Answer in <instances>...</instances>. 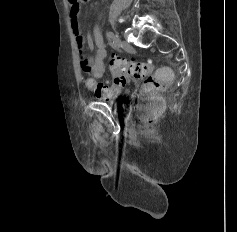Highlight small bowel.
Masks as SVG:
<instances>
[{
	"instance_id": "c3829d8e",
	"label": "small bowel",
	"mask_w": 237,
	"mask_h": 232,
	"mask_svg": "<svg viewBox=\"0 0 237 232\" xmlns=\"http://www.w3.org/2000/svg\"><path fill=\"white\" fill-rule=\"evenodd\" d=\"M70 2V23L74 33L78 57L79 66L81 70L89 74V78L86 80V85L89 89L93 90L95 95L100 99L113 98L118 90L106 86L102 83H97L96 79L102 77L105 72V59L107 57V51L105 49L102 32L98 26L94 28L93 36L85 37L79 24V11L80 2ZM87 43L90 49L94 47L97 51L94 56H86L84 53V46Z\"/></svg>"
}]
</instances>
